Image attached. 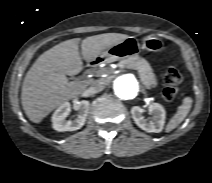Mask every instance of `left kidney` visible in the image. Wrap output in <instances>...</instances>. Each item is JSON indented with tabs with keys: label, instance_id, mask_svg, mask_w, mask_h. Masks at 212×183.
<instances>
[{
	"label": "left kidney",
	"instance_id": "obj_1",
	"mask_svg": "<svg viewBox=\"0 0 212 183\" xmlns=\"http://www.w3.org/2000/svg\"><path fill=\"white\" fill-rule=\"evenodd\" d=\"M149 112L152 114V119L147 121L142 116L143 108L139 106H134L131 109V114L136 125L142 130L149 133H159L163 130L165 124V109L159 103H153L148 108Z\"/></svg>",
	"mask_w": 212,
	"mask_h": 183
}]
</instances>
